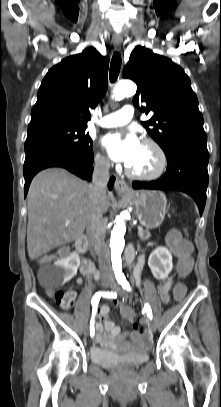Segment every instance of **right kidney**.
Returning <instances> with one entry per match:
<instances>
[{
  "mask_svg": "<svg viewBox=\"0 0 221 407\" xmlns=\"http://www.w3.org/2000/svg\"><path fill=\"white\" fill-rule=\"evenodd\" d=\"M79 265L80 258L76 252L71 253L66 258L57 260L54 263V271L57 283L60 285H64L66 282L71 280L77 274Z\"/></svg>",
  "mask_w": 221,
  "mask_h": 407,
  "instance_id": "obj_1",
  "label": "right kidney"
}]
</instances>
